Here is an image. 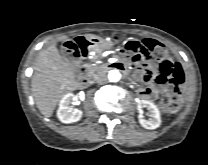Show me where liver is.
Masks as SVG:
<instances>
[{"mask_svg": "<svg viewBox=\"0 0 208 165\" xmlns=\"http://www.w3.org/2000/svg\"><path fill=\"white\" fill-rule=\"evenodd\" d=\"M31 87L37 108L47 118L65 94L79 87L73 67L62 59L55 45L38 55Z\"/></svg>", "mask_w": 208, "mask_h": 165, "instance_id": "6515ba94", "label": "liver"}]
</instances>
